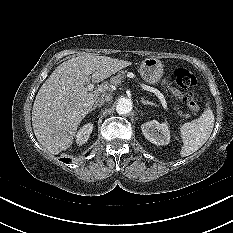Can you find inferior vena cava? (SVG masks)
Returning a JSON list of instances; mask_svg holds the SVG:
<instances>
[{
  "label": "inferior vena cava",
  "mask_w": 233,
  "mask_h": 233,
  "mask_svg": "<svg viewBox=\"0 0 233 233\" xmlns=\"http://www.w3.org/2000/svg\"><path fill=\"white\" fill-rule=\"evenodd\" d=\"M112 97L108 95H103L95 100L96 105H103L105 102L111 101Z\"/></svg>",
  "instance_id": "1"
}]
</instances>
